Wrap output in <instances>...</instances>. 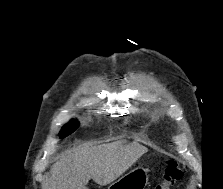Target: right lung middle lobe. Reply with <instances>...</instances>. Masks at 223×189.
I'll use <instances>...</instances> for the list:
<instances>
[{"instance_id":"dd1d6c3e","label":"right lung middle lobe","mask_w":223,"mask_h":189,"mask_svg":"<svg viewBox=\"0 0 223 189\" xmlns=\"http://www.w3.org/2000/svg\"><path fill=\"white\" fill-rule=\"evenodd\" d=\"M79 127V122L75 119L71 120L67 125H65L60 131V138L67 137L73 133Z\"/></svg>"}]
</instances>
